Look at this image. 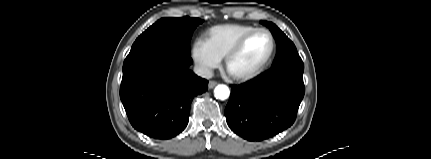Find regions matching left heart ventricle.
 Returning a JSON list of instances; mask_svg holds the SVG:
<instances>
[{
  "label": "left heart ventricle",
  "mask_w": 431,
  "mask_h": 159,
  "mask_svg": "<svg viewBox=\"0 0 431 159\" xmlns=\"http://www.w3.org/2000/svg\"><path fill=\"white\" fill-rule=\"evenodd\" d=\"M272 41L265 33H258L248 40L242 52L232 60L229 72L233 75L249 73L260 67L268 58Z\"/></svg>",
  "instance_id": "obj_1"
}]
</instances>
